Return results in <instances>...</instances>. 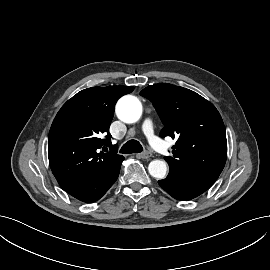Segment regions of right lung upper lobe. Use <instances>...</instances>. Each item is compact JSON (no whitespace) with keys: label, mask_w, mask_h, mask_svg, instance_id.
<instances>
[{"label":"right lung upper lobe","mask_w":270,"mask_h":270,"mask_svg":"<svg viewBox=\"0 0 270 270\" xmlns=\"http://www.w3.org/2000/svg\"><path fill=\"white\" fill-rule=\"evenodd\" d=\"M131 91L127 86L87 88L59 110L48 136V158L63 190L105 176L124 160L111 145L108 130L115 103Z\"/></svg>","instance_id":"1"}]
</instances>
